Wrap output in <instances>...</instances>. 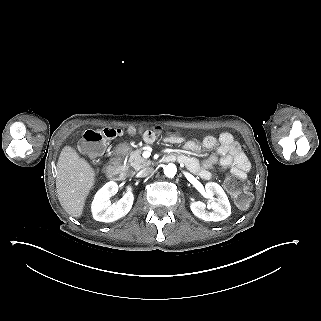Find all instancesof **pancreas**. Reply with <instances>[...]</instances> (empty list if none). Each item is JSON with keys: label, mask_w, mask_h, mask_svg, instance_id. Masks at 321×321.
<instances>
[{"label": "pancreas", "mask_w": 321, "mask_h": 321, "mask_svg": "<svg viewBox=\"0 0 321 321\" xmlns=\"http://www.w3.org/2000/svg\"><path fill=\"white\" fill-rule=\"evenodd\" d=\"M151 161L141 157V150H135L130 152V157L128 160V165L124 168L127 169L129 167L134 168L136 171L145 168L151 165Z\"/></svg>", "instance_id": "1"}]
</instances>
